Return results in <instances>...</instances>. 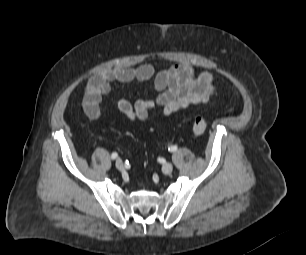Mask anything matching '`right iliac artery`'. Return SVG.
Instances as JSON below:
<instances>
[{"label": "right iliac artery", "mask_w": 306, "mask_h": 255, "mask_svg": "<svg viewBox=\"0 0 306 255\" xmlns=\"http://www.w3.org/2000/svg\"><path fill=\"white\" fill-rule=\"evenodd\" d=\"M118 157V154L116 152L112 153L111 158L116 159Z\"/></svg>", "instance_id": "right-iliac-artery-1"}]
</instances>
